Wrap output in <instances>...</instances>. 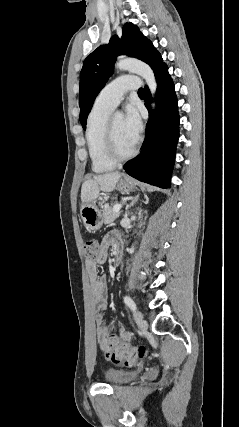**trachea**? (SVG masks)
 <instances>
[{"label":"trachea","instance_id":"3493384b","mask_svg":"<svg viewBox=\"0 0 239 427\" xmlns=\"http://www.w3.org/2000/svg\"><path fill=\"white\" fill-rule=\"evenodd\" d=\"M144 93H145V92H144V89H143V88H140V89L138 90V94H139V95H144Z\"/></svg>","mask_w":239,"mask_h":427}]
</instances>
